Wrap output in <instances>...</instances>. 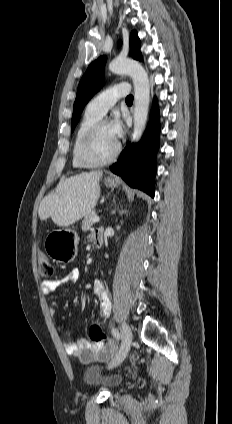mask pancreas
<instances>
[{
  "mask_svg": "<svg viewBox=\"0 0 232 424\" xmlns=\"http://www.w3.org/2000/svg\"><path fill=\"white\" fill-rule=\"evenodd\" d=\"M96 216V212L93 210L89 214H87L82 222V230L88 231L91 229L94 222L92 221L93 217Z\"/></svg>",
  "mask_w": 232,
  "mask_h": 424,
  "instance_id": "cf45deb5",
  "label": "pancreas"
}]
</instances>
